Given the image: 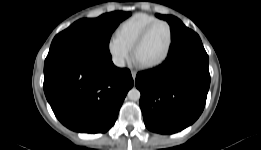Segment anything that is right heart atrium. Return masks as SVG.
Listing matches in <instances>:
<instances>
[{"label":"right heart atrium","instance_id":"right-heart-atrium-1","mask_svg":"<svg viewBox=\"0 0 261 150\" xmlns=\"http://www.w3.org/2000/svg\"><path fill=\"white\" fill-rule=\"evenodd\" d=\"M107 50L112 62L118 67H123L131 56V48L121 42L116 36L109 38Z\"/></svg>","mask_w":261,"mask_h":150}]
</instances>
